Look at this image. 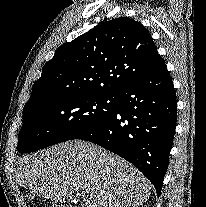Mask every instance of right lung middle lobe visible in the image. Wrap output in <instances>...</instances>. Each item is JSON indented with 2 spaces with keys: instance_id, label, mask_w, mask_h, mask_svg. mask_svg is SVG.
Wrapping results in <instances>:
<instances>
[{
  "instance_id": "right-lung-middle-lobe-1",
  "label": "right lung middle lobe",
  "mask_w": 206,
  "mask_h": 207,
  "mask_svg": "<svg viewBox=\"0 0 206 207\" xmlns=\"http://www.w3.org/2000/svg\"><path fill=\"white\" fill-rule=\"evenodd\" d=\"M116 95L51 100L24 111L17 150L20 153L76 139L116 110Z\"/></svg>"
}]
</instances>
